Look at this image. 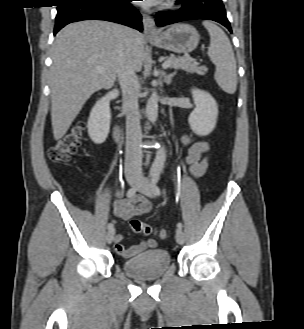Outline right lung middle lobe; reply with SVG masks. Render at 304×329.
I'll use <instances>...</instances> for the list:
<instances>
[{"label":"right lung middle lobe","mask_w":304,"mask_h":329,"mask_svg":"<svg viewBox=\"0 0 304 329\" xmlns=\"http://www.w3.org/2000/svg\"><path fill=\"white\" fill-rule=\"evenodd\" d=\"M60 3H64V2H69V1H73V0H60Z\"/></svg>","instance_id":"right-lung-middle-lobe-1"}]
</instances>
